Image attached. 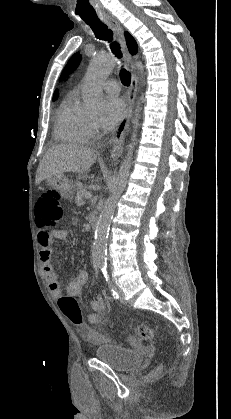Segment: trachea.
<instances>
[{"mask_svg":"<svg viewBox=\"0 0 231 419\" xmlns=\"http://www.w3.org/2000/svg\"><path fill=\"white\" fill-rule=\"evenodd\" d=\"M87 24L93 30L96 38L100 40L109 41L112 52L116 55V57L122 58V53L120 50L119 43H117L116 41H113V32L110 29H108V27L104 23L98 21V22H91V23L87 22ZM120 77H121V81L123 85L125 86L130 85L131 76H130V73L126 69L124 68L121 69Z\"/></svg>","mask_w":231,"mask_h":419,"instance_id":"1","label":"trachea"}]
</instances>
